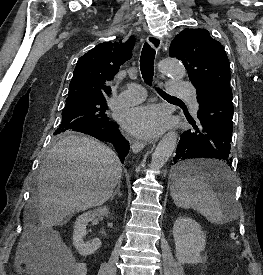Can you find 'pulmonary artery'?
<instances>
[{
    "label": "pulmonary artery",
    "mask_w": 263,
    "mask_h": 275,
    "mask_svg": "<svg viewBox=\"0 0 263 275\" xmlns=\"http://www.w3.org/2000/svg\"><path fill=\"white\" fill-rule=\"evenodd\" d=\"M168 91L172 95L181 96L185 98L193 113L198 110V102L196 98V91L192 85L184 81L171 80L168 83ZM144 88L136 83L128 84L125 91L119 96V101L124 105H134L142 102L145 98Z\"/></svg>",
    "instance_id": "e3ab8cb5"
}]
</instances>
